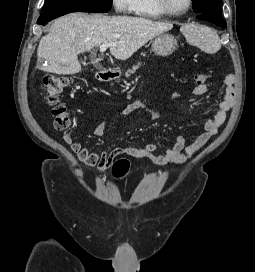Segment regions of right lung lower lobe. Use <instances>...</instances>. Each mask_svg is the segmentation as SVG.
Wrapping results in <instances>:
<instances>
[{
	"mask_svg": "<svg viewBox=\"0 0 255 272\" xmlns=\"http://www.w3.org/2000/svg\"><path fill=\"white\" fill-rule=\"evenodd\" d=\"M69 12H53V13H43L37 23L41 24V25H45L46 23H48L49 21H51L52 19L58 18L60 16H63L65 14H68Z\"/></svg>",
	"mask_w": 255,
	"mask_h": 272,
	"instance_id": "obj_1",
	"label": "right lung lower lobe"
}]
</instances>
